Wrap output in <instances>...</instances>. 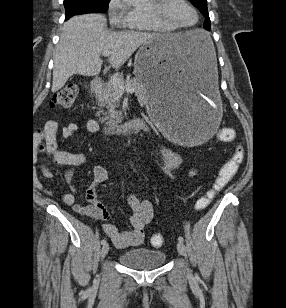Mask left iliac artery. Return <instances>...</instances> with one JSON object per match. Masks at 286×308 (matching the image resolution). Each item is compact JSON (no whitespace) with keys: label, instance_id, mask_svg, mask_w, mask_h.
<instances>
[{"label":"left iliac artery","instance_id":"obj_1","mask_svg":"<svg viewBox=\"0 0 286 308\" xmlns=\"http://www.w3.org/2000/svg\"><path fill=\"white\" fill-rule=\"evenodd\" d=\"M178 240H179L180 242H184V238H183L182 236H179Z\"/></svg>","mask_w":286,"mask_h":308}]
</instances>
